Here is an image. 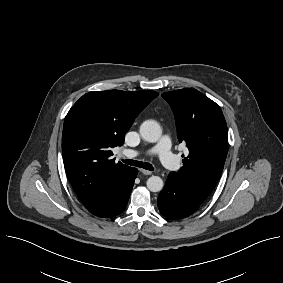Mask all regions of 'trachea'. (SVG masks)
<instances>
[{
  "label": "trachea",
  "instance_id": "obj_1",
  "mask_svg": "<svg viewBox=\"0 0 283 283\" xmlns=\"http://www.w3.org/2000/svg\"><path fill=\"white\" fill-rule=\"evenodd\" d=\"M125 164L131 165V166H136L140 168H144L146 170H154L153 166L150 163L147 162H141V161H136V160H122Z\"/></svg>",
  "mask_w": 283,
  "mask_h": 283
}]
</instances>
